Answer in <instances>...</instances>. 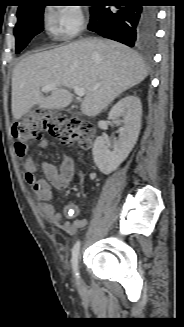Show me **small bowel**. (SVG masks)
<instances>
[{"mask_svg":"<svg viewBox=\"0 0 184 327\" xmlns=\"http://www.w3.org/2000/svg\"><path fill=\"white\" fill-rule=\"evenodd\" d=\"M47 146L48 141L41 139L37 145V150H44ZM25 170V180L32 186L40 201L41 213L50 223L62 226L65 231L71 234L76 233L87 225L86 219L75 218L79 213V208L75 203L67 204L63 214L56 212L53 207L54 197L52 188L58 190L66 189L75 176V163L71 157L65 156L59 166L47 162L43 163L45 176L41 178L36 176V165L33 156L25 160ZM83 179L84 175L79 174V180L82 182ZM64 216L72 220L63 222Z\"/></svg>","mask_w":184,"mask_h":327,"instance_id":"obj_1","label":"small bowel"}]
</instances>
